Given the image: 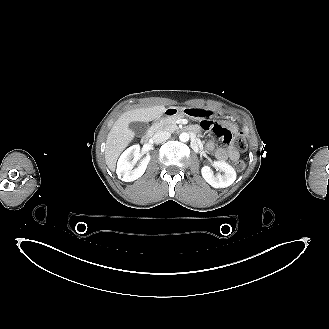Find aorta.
I'll list each match as a JSON object with an SVG mask.
<instances>
[{
	"instance_id": "aorta-1",
	"label": "aorta",
	"mask_w": 329,
	"mask_h": 329,
	"mask_svg": "<svg viewBox=\"0 0 329 329\" xmlns=\"http://www.w3.org/2000/svg\"><path fill=\"white\" fill-rule=\"evenodd\" d=\"M179 140L181 142H187L189 140V134L186 132L181 133L179 136Z\"/></svg>"
}]
</instances>
